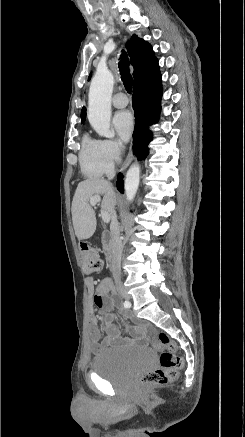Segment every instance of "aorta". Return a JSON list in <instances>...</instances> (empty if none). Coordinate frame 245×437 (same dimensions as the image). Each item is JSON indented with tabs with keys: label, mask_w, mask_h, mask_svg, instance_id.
Listing matches in <instances>:
<instances>
[{
	"label": "aorta",
	"mask_w": 245,
	"mask_h": 437,
	"mask_svg": "<svg viewBox=\"0 0 245 437\" xmlns=\"http://www.w3.org/2000/svg\"><path fill=\"white\" fill-rule=\"evenodd\" d=\"M113 85V74L107 69H97L89 89L88 120L94 130L100 136L106 138L114 137V131L110 128ZM139 181L140 167L132 165L124 182L125 195L128 201L134 199Z\"/></svg>",
	"instance_id": "1"
}]
</instances>
